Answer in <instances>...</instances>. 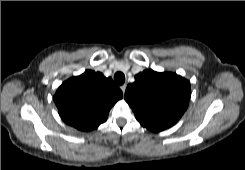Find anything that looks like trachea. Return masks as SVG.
<instances>
[{
  "label": "trachea",
  "instance_id": "trachea-1",
  "mask_svg": "<svg viewBox=\"0 0 245 170\" xmlns=\"http://www.w3.org/2000/svg\"><path fill=\"white\" fill-rule=\"evenodd\" d=\"M114 80L118 85H122L125 82V75L122 72H116Z\"/></svg>",
  "mask_w": 245,
  "mask_h": 170
}]
</instances>
